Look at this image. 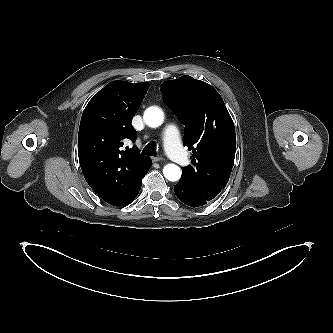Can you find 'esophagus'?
Here are the masks:
<instances>
[{"label": "esophagus", "mask_w": 333, "mask_h": 333, "mask_svg": "<svg viewBox=\"0 0 333 333\" xmlns=\"http://www.w3.org/2000/svg\"><path fill=\"white\" fill-rule=\"evenodd\" d=\"M151 159H152L153 162H159V161L163 160V158L160 157V156L152 157Z\"/></svg>", "instance_id": "1"}]
</instances>
